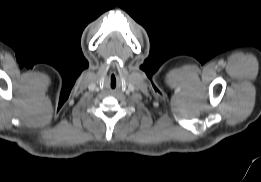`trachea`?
<instances>
[{
    "label": "trachea",
    "instance_id": "3493384b",
    "mask_svg": "<svg viewBox=\"0 0 261 182\" xmlns=\"http://www.w3.org/2000/svg\"><path fill=\"white\" fill-rule=\"evenodd\" d=\"M113 84H114V86H115V82H114V81L111 83V86H113Z\"/></svg>",
    "mask_w": 261,
    "mask_h": 182
}]
</instances>
